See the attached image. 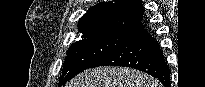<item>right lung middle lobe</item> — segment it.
<instances>
[{"label":"right lung middle lobe","mask_w":205,"mask_h":87,"mask_svg":"<svg viewBox=\"0 0 205 87\" xmlns=\"http://www.w3.org/2000/svg\"><path fill=\"white\" fill-rule=\"evenodd\" d=\"M132 34L122 31H93L73 43L67 53L59 86L125 42Z\"/></svg>","instance_id":"1"}]
</instances>
